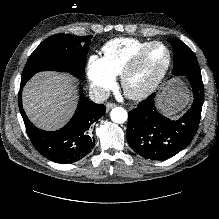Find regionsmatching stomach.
<instances>
[{
  "mask_svg": "<svg viewBox=\"0 0 219 219\" xmlns=\"http://www.w3.org/2000/svg\"><path fill=\"white\" fill-rule=\"evenodd\" d=\"M167 96L168 97H175L176 96V94L175 93H173V92H171V90L170 91H168V94H167Z\"/></svg>",
  "mask_w": 219,
  "mask_h": 219,
  "instance_id": "1",
  "label": "stomach"
}]
</instances>
